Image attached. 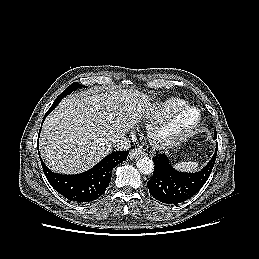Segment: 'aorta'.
I'll use <instances>...</instances> for the list:
<instances>
[{
    "instance_id": "762f6f07",
    "label": "aorta",
    "mask_w": 259,
    "mask_h": 259,
    "mask_svg": "<svg viewBox=\"0 0 259 259\" xmlns=\"http://www.w3.org/2000/svg\"><path fill=\"white\" fill-rule=\"evenodd\" d=\"M138 170L145 175L151 174L154 170L153 160L149 157H141L137 161Z\"/></svg>"
}]
</instances>
